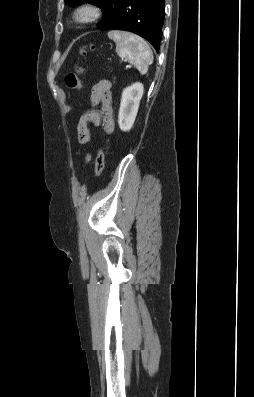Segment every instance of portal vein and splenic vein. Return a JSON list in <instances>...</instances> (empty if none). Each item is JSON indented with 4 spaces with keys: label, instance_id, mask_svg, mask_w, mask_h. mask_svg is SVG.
<instances>
[{
    "label": "portal vein and splenic vein",
    "instance_id": "obj_1",
    "mask_svg": "<svg viewBox=\"0 0 254 397\" xmlns=\"http://www.w3.org/2000/svg\"><path fill=\"white\" fill-rule=\"evenodd\" d=\"M126 67H127V68H130V67H131V65H130V64H128V65H126Z\"/></svg>",
    "mask_w": 254,
    "mask_h": 397
}]
</instances>
